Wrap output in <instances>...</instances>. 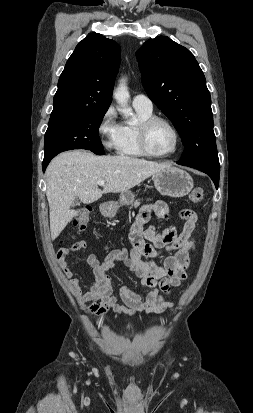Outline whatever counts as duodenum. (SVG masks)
Returning <instances> with one entry per match:
<instances>
[{
  "label": "duodenum",
  "mask_w": 253,
  "mask_h": 413,
  "mask_svg": "<svg viewBox=\"0 0 253 413\" xmlns=\"http://www.w3.org/2000/svg\"><path fill=\"white\" fill-rule=\"evenodd\" d=\"M103 208H104L105 211H107L108 206H107V205H104Z\"/></svg>",
  "instance_id": "410a0bca"
}]
</instances>
